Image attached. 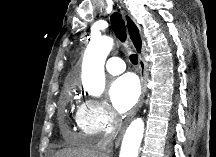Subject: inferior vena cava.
<instances>
[{"label":"inferior vena cava","mask_w":216,"mask_h":157,"mask_svg":"<svg viewBox=\"0 0 216 157\" xmlns=\"http://www.w3.org/2000/svg\"><path fill=\"white\" fill-rule=\"evenodd\" d=\"M114 138L115 135L113 133L105 134L104 137L98 142L96 149L99 157H110Z\"/></svg>","instance_id":"1"}]
</instances>
